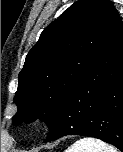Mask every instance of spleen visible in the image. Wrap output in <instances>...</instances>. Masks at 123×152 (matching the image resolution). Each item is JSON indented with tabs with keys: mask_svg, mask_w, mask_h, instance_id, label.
I'll return each mask as SVG.
<instances>
[{
	"mask_svg": "<svg viewBox=\"0 0 123 152\" xmlns=\"http://www.w3.org/2000/svg\"><path fill=\"white\" fill-rule=\"evenodd\" d=\"M66 152H117V150L99 139L85 137L76 141Z\"/></svg>",
	"mask_w": 123,
	"mask_h": 152,
	"instance_id": "spleen-1",
	"label": "spleen"
}]
</instances>
